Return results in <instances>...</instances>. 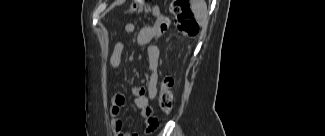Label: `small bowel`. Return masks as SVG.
<instances>
[{"instance_id":"small-bowel-1","label":"small bowel","mask_w":325,"mask_h":136,"mask_svg":"<svg viewBox=\"0 0 325 136\" xmlns=\"http://www.w3.org/2000/svg\"><path fill=\"white\" fill-rule=\"evenodd\" d=\"M165 30V25L163 23H157L153 26H147L140 29L137 34V44L139 46L147 47L148 65L151 71L149 81L144 86L134 87L131 90V95L134 98L135 106L141 111V114L145 120L146 132H154L159 122L153 116V109L150 105L151 101L154 99L157 93V83H158V63H159V49L156 46L149 45V43L160 37ZM136 31V26L133 23H127L124 26V32L126 34H133ZM125 44L122 41H116L113 46V52L110 56V65L113 68L120 67L122 63V56L125 52ZM126 96L124 93H117L111 99L110 112L113 117H116L121 107L124 105ZM112 130L117 136H138L136 130H127L123 128V123L115 118L112 121Z\"/></svg>"}]
</instances>
